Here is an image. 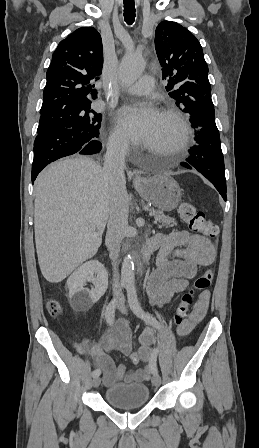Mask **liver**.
I'll use <instances>...</instances> for the list:
<instances>
[{
    "label": "liver",
    "instance_id": "6515ba94",
    "mask_svg": "<svg viewBox=\"0 0 259 448\" xmlns=\"http://www.w3.org/2000/svg\"><path fill=\"white\" fill-rule=\"evenodd\" d=\"M102 180L103 168L87 156L62 158L37 176L35 242L47 282H62L97 254L110 214L111 196Z\"/></svg>",
    "mask_w": 259,
    "mask_h": 448
}]
</instances>
